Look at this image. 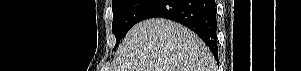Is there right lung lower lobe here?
I'll list each match as a JSON object with an SVG mask.
<instances>
[{
	"label": "right lung lower lobe",
	"instance_id": "obj_1",
	"mask_svg": "<svg viewBox=\"0 0 301 71\" xmlns=\"http://www.w3.org/2000/svg\"><path fill=\"white\" fill-rule=\"evenodd\" d=\"M155 17L170 19L188 27L218 59L215 0H155L143 12L140 21Z\"/></svg>",
	"mask_w": 301,
	"mask_h": 71
}]
</instances>
